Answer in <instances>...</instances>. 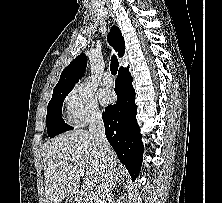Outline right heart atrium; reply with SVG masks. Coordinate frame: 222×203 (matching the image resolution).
Returning a JSON list of instances; mask_svg holds the SVG:
<instances>
[{
    "instance_id": "1",
    "label": "right heart atrium",
    "mask_w": 222,
    "mask_h": 203,
    "mask_svg": "<svg viewBox=\"0 0 222 203\" xmlns=\"http://www.w3.org/2000/svg\"><path fill=\"white\" fill-rule=\"evenodd\" d=\"M66 106L68 116L76 126H82L101 116L95 94L83 85H77L69 93Z\"/></svg>"
}]
</instances>
